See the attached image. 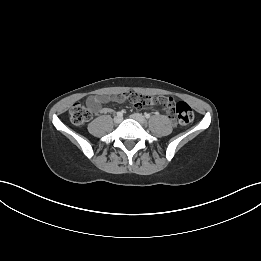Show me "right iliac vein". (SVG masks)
Masks as SVG:
<instances>
[{
    "mask_svg": "<svg viewBox=\"0 0 261 261\" xmlns=\"http://www.w3.org/2000/svg\"><path fill=\"white\" fill-rule=\"evenodd\" d=\"M122 119H123L122 116L117 115L114 117V123L119 124L122 121Z\"/></svg>",
    "mask_w": 261,
    "mask_h": 261,
    "instance_id": "right-iliac-vein-1",
    "label": "right iliac vein"
}]
</instances>
